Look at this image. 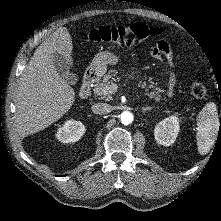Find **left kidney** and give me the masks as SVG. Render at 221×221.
Wrapping results in <instances>:
<instances>
[{
  "mask_svg": "<svg viewBox=\"0 0 221 221\" xmlns=\"http://www.w3.org/2000/svg\"><path fill=\"white\" fill-rule=\"evenodd\" d=\"M179 129V118L176 115L165 118L155 127V140L158 144L170 146L175 142Z\"/></svg>",
  "mask_w": 221,
  "mask_h": 221,
  "instance_id": "left-kidney-1",
  "label": "left kidney"
}]
</instances>
